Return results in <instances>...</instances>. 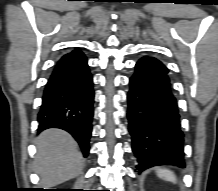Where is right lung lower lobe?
<instances>
[{
    "instance_id": "1",
    "label": "right lung lower lobe",
    "mask_w": 218,
    "mask_h": 191,
    "mask_svg": "<svg viewBox=\"0 0 218 191\" xmlns=\"http://www.w3.org/2000/svg\"><path fill=\"white\" fill-rule=\"evenodd\" d=\"M93 80L87 58L79 50L57 62L45 85L38 113V131L60 128L79 143L84 157L89 153L93 118Z\"/></svg>"
}]
</instances>
